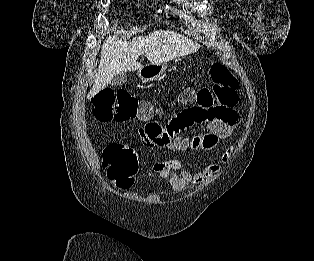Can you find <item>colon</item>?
<instances>
[{
    "instance_id": "colon-1",
    "label": "colon",
    "mask_w": 314,
    "mask_h": 261,
    "mask_svg": "<svg viewBox=\"0 0 314 261\" xmlns=\"http://www.w3.org/2000/svg\"><path fill=\"white\" fill-rule=\"evenodd\" d=\"M211 84L198 90L185 89L180 100L187 105L201 107L225 105L236 100L238 83L229 69L220 62H214L210 68ZM93 114L100 122H127L139 120L151 124L156 122L157 111L153 105L138 100L124 88H103L93 98ZM103 166L108 178L119 188H127L134 182L139 167L137 153L123 142H108L104 145Z\"/></svg>"
}]
</instances>
